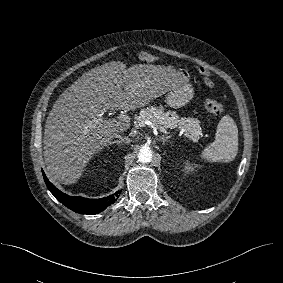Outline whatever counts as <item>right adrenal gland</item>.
Returning a JSON list of instances; mask_svg holds the SVG:
<instances>
[{"label":"right adrenal gland","instance_id":"obj_1","mask_svg":"<svg viewBox=\"0 0 283 283\" xmlns=\"http://www.w3.org/2000/svg\"><path fill=\"white\" fill-rule=\"evenodd\" d=\"M115 143L121 144L122 142H121V140H114V141L109 142V145H112V144H115Z\"/></svg>","mask_w":283,"mask_h":283}]
</instances>
